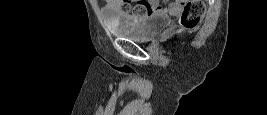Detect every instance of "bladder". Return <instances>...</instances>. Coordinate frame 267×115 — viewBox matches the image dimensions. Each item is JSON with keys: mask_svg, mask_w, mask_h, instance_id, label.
Returning a JSON list of instances; mask_svg holds the SVG:
<instances>
[{"mask_svg": "<svg viewBox=\"0 0 267 115\" xmlns=\"http://www.w3.org/2000/svg\"><path fill=\"white\" fill-rule=\"evenodd\" d=\"M171 23V17L163 13H149L142 15L135 23H123L109 25L110 31L122 38L146 42L167 29Z\"/></svg>", "mask_w": 267, "mask_h": 115, "instance_id": "obj_1", "label": "bladder"}]
</instances>
